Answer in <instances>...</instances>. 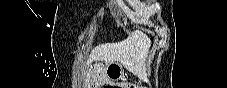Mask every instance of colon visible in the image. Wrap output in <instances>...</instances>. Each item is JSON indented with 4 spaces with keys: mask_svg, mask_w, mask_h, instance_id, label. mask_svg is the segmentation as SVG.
I'll return each mask as SVG.
<instances>
[{
    "mask_svg": "<svg viewBox=\"0 0 227 88\" xmlns=\"http://www.w3.org/2000/svg\"><path fill=\"white\" fill-rule=\"evenodd\" d=\"M105 88H114V87H116V86H113V85H107V86H104ZM124 87H126V88H131V87H133L132 85H130V84H126Z\"/></svg>",
    "mask_w": 227,
    "mask_h": 88,
    "instance_id": "obj_1",
    "label": "colon"
}]
</instances>
